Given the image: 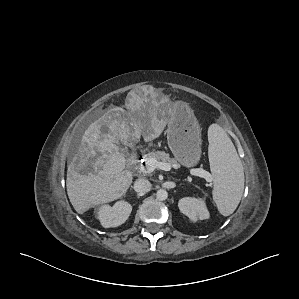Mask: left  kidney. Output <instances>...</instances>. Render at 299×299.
Listing matches in <instances>:
<instances>
[{
  "label": "left kidney",
  "mask_w": 299,
  "mask_h": 299,
  "mask_svg": "<svg viewBox=\"0 0 299 299\" xmlns=\"http://www.w3.org/2000/svg\"><path fill=\"white\" fill-rule=\"evenodd\" d=\"M180 211L192 221L208 219L210 214L202 198L185 197L179 200Z\"/></svg>",
  "instance_id": "obj_1"
}]
</instances>
